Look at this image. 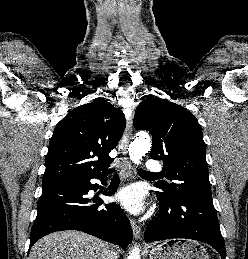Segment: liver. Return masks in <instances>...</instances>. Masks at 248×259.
<instances>
[{
	"label": "liver",
	"instance_id": "1",
	"mask_svg": "<svg viewBox=\"0 0 248 259\" xmlns=\"http://www.w3.org/2000/svg\"><path fill=\"white\" fill-rule=\"evenodd\" d=\"M106 242L79 231H60L44 236L31 248L28 259H106Z\"/></svg>",
	"mask_w": 248,
	"mask_h": 259
}]
</instances>
